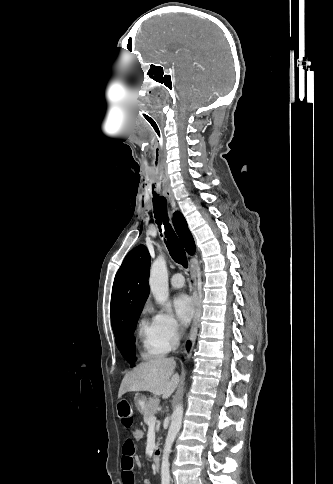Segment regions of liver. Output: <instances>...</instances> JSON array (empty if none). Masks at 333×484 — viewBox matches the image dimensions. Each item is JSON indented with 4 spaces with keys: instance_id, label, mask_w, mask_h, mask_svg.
I'll use <instances>...</instances> for the list:
<instances>
[{
    "instance_id": "obj_1",
    "label": "liver",
    "mask_w": 333,
    "mask_h": 484,
    "mask_svg": "<svg viewBox=\"0 0 333 484\" xmlns=\"http://www.w3.org/2000/svg\"><path fill=\"white\" fill-rule=\"evenodd\" d=\"M175 367L174 358H157L140 363L124 376L118 398L131 391H148L168 399L180 381L178 373L174 374Z\"/></svg>"
}]
</instances>
